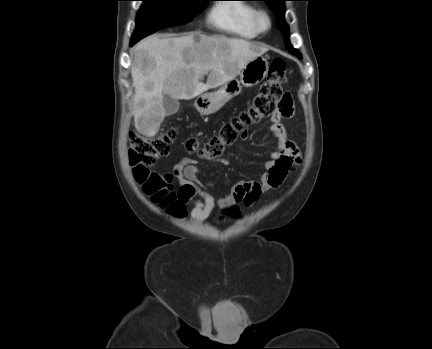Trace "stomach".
<instances>
[{
  "label": "stomach",
  "instance_id": "1",
  "mask_svg": "<svg viewBox=\"0 0 432 349\" xmlns=\"http://www.w3.org/2000/svg\"><path fill=\"white\" fill-rule=\"evenodd\" d=\"M269 63L266 58L258 56L248 62L240 72V81L231 80L222 85L217 91L201 94L195 100V108L202 115H210L217 112L226 102L237 96L242 84L244 87H252L259 84L268 74Z\"/></svg>",
  "mask_w": 432,
  "mask_h": 349
}]
</instances>
